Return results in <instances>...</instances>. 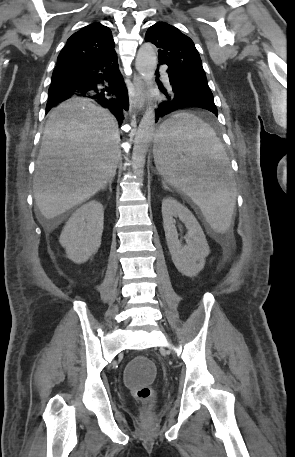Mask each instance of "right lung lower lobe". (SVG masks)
<instances>
[{
  "instance_id": "1",
  "label": "right lung lower lobe",
  "mask_w": 295,
  "mask_h": 457,
  "mask_svg": "<svg viewBox=\"0 0 295 457\" xmlns=\"http://www.w3.org/2000/svg\"><path fill=\"white\" fill-rule=\"evenodd\" d=\"M48 94L46 112L72 96H83L107 107L121 123L129 107L115 50L91 62L56 66Z\"/></svg>"
}]
</instances>
